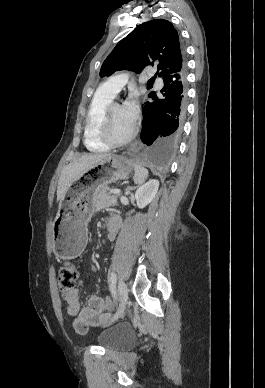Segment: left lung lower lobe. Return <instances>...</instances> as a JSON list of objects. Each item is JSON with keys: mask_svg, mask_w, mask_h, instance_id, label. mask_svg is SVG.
<instances>
[{"mask_svg": "<svg viewBox=\"0 0 265 388\" xmlns=\"http://www.w3.org/2000/svg\"><path fill=\"white\" fill-rule=\"evenodd\" d=\"M164 85L154 101L142 105L141 155L154 167L165 170L182 133L186 111V69L163 78Z\"/></svg>", "mask_w": 265, "mask_h": 388, "instance_id": "1", "label": "left lung lower lobe"}]
</instances>
